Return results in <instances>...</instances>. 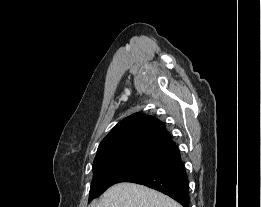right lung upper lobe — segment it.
Returning a JSON list of instances; mask_svg holds the SVG:
<instances>
[{
    "mask_svg": "<svg viewBox=\"0 0 261 207\" xmlns=\"http://www.w3.org/2000/svg\"><path fill=\"white\" fill-rule=\"evenodd\" d=\"M163 122L141 113L132 114L114 126L100 143L93 165L125 158L161 162L179 154Z\"/></svg>",
    "mask_w": 261,
    "mask_h": 207,
    "instance_id": "obj_1",
    "label": "right lung upper lobe"
}]
</instances>
